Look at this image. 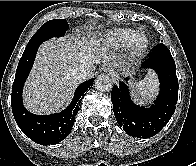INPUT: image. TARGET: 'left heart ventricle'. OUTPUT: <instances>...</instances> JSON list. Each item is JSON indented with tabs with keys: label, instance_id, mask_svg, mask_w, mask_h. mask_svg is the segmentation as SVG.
<instances>
[{
	"label": "left heart ventricle",
	"instance_id": "b2bd125f",
	"mask_svg": "<svg viewBox=\"0 0 196 166\" xmlns=\"http://www.w3.org/2000/svg\"><path fill=\"white\" fill-rule=\"evenodd\" d=\"M143 42V37L141 35L137 36L135 39H134V43L136 45H140L141 43Z\"/></svg>",
	"mask_w": 196,
	"mask_h": 166
}]
</instances>
